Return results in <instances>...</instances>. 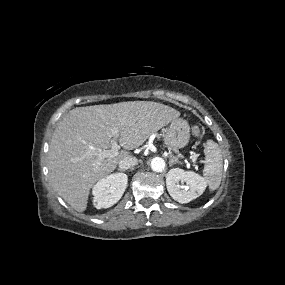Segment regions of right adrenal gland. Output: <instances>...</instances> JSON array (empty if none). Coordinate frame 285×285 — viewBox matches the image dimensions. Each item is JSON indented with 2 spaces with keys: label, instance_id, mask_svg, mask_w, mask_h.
<instances>
[{
  "label": "right adrenal gland",
  "instance_id": "right-adrenal-gland-1",
  "mask_svg": "<svg viewBox=\"0 0 285 285\" xmlns=\"http://www.w3.org/2000/svg\"><path fill=\"white\" fill-rule=\"evenodd\" d=\"M120 172H123L124 170L118 169Z\"/></svg>",
  "mask_w": 285,
  "mask_h": 285
}]
</instances>
